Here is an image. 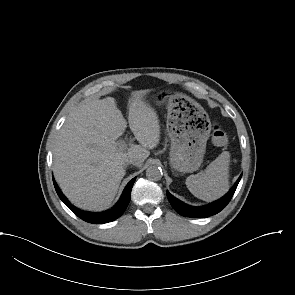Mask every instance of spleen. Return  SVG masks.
Masks as SVG:
<instances>
[{"mask_svg":"<svg viewBox=\"0 0 295 295\" xmlns=\"http://www.w3.org/2000/svg\"><path fill=\"white\" fill-rule=\"evenodd\" d=\"M230 153L222 152L200 175H190L186 186L197 198L213 201L222 197L229 190Z\"/></svg>","mask_w":295,"mask_h":295,"instance_id":"1","label":"spleen"}]
</instances>
